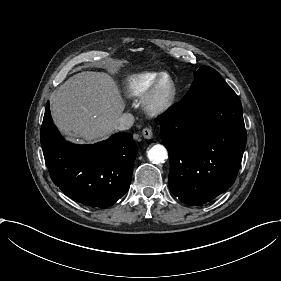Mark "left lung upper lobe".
I'll list each match as a JSON object with an SVG mask.
<instances>
[{
    "mask_svg": "<svg viewBox=\"0 0 281 281\" xmlns=\"http://www.w3.org/2000/svg\"><path fill=\"white\" fill-rule=\"evenodd\" d=\"M194 74V81L181 101L195 100L218 94L235 93L213 68L201 66Z\"/></svg>",
    "mask_w": 281,
    "mask_h": 281,
    "instance_id": "1",
    "label": "left lung upper lobe"
}]
</instances>
